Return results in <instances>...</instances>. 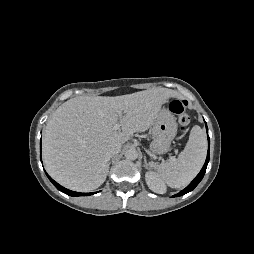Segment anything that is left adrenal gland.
Here are the masks:
<instances>
[{
    "mask_svg": "<svg viewBox=\"0 0 254 254\" xmlns=\"http://www.w3.org/2000/svg\"><path fill=\"white\" fill-rule=\"evenodd\" d=\"M144 167H145L146 169H148V164H147L146 156H144Z\"/></svg>",
    "mask_w": 254,
    "mask_h": 254,
    "instance_id": "left-adrenal-gland-1",
    "label": "left adrenal gland"
}]
</instances>
